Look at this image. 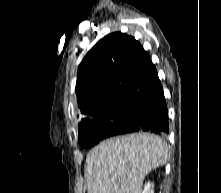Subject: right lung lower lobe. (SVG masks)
Listing matches in <instances>:
<instances>
[{
	"label": "right lung lower lobe",
	"instance_id": "1",
	"mask_svg": "<svg viewBox=\"0 0 221 193\" xmlns=\"http://www.w3.org/2000/svg\"><path fill=\"white\" fill-rule=\"evenodd\" d=\"M138 131H148L161 136L169 133L168 110L161 83H159L154 93L148 99V109L146 112L133 124L122 129L116 135Z\"/></svg>",
	"mask_w": 221,
	"mask_h": 193
}]
</instances>
